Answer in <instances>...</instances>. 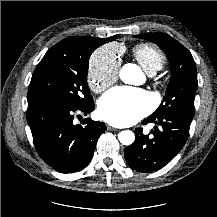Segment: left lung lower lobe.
Instances as JSON below:
<instances>
[{"label": "left lung lower lobe", "mask_w": 217, "mask_h": 217, "mask_svg": "<svg viewBox=\"0 0 217 217\" xmlns=\"http://www.w3.org/2000/svg\"><path fill=\"white\" fill-rule=\"evenodd\" d=\"M192 118L180 114L148 117L142 123H155L153 136L135 129V142L125 149L128 165L139 172H153L163 168L185 145Z\"/></svg>", "instance_id": "obj_1"}]
</instances>
